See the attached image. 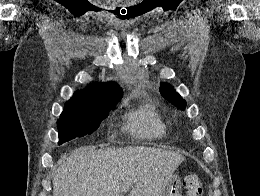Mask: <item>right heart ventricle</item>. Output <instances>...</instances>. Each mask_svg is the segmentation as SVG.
I'll use <instances>...</instances> for the list:
<instances>
[{
    "instance_id": "e07e8e85",
    "label": "right heart ventricle",
    "mask_w": 260,
    "mask_h": 196,
    "mask_svg": "<svg viewBox=\"0 0 260 196\" xmlns=\"http://www.w3.org/2000/svg\"><path fill=\"white\" fill-rule=\"evenodd\" d=\"M128 120L134 133L142 138L159 139L167 134V126L163 119L150 108H141L130 113ZM94 192H100V190ZM114 192H123V190Z\"/></svg>"
}]
</instances>
